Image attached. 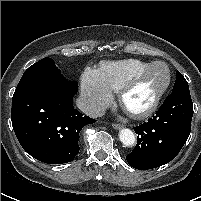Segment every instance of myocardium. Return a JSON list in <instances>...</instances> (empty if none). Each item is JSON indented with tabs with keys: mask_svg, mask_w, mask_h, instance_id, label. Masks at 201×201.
I'll use <instances>...</instances> for the list:
<instances>
[{
	"mask_svg": "<svg viewBox=\"0 0 201 201\" xmlns=\"http://www.w3.org/2000/svg\"><path fill=\"white\" fill-rule=\"evenodd\" d=\"M157 65H163L167 70V80L165 85L159 90V92L153 97L151 102L145 107L138 110H130L125 105L126 96L134 88V86L154 67ZM172 82V72L169 65L163 61H155L148 65L143 70L136 73L130 79H128L118 92V99L121 107L133 118L143 119L152 115L158 108L164 95L167 93Z\"/></svg>",
	"mask_w": 201,
	"mask_h": 201,
	"instance_id": "f54148a6",
	"label": "myocardium"
}]
</instances>
